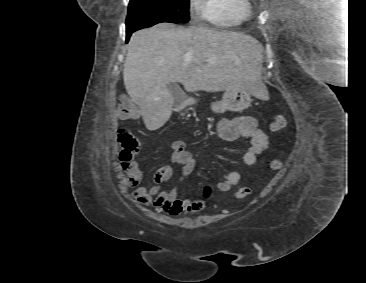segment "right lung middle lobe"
I'll list each match as a JSON object with an SVG mask.
<instances>
[{"mask_svg":"<svg viewBox=\"0 0 366 283\" xmlns=\"http://www.w3.org/2000/svg\"><path fill=\"white\" fill-rule=\"evenodd\" d=\"M188 21L189 0H130L126 31H136L161 22Z\"/></svg>","mask_w":366,"mask_h":283,"instance_id":"right-lung-middle-lobe-1","label":"right lung middle lobe"}]
</instances>
